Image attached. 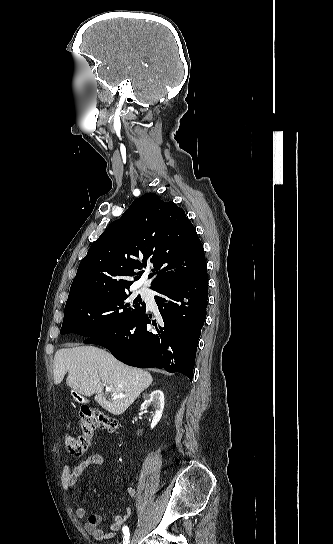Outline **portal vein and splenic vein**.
Wrapping results in <instances>:
<instances>
[{"instance_id":"18ae733b","label":"portal vein and splenic vein","mask_w":333,"mask_h":544,"mask_svg":"<svg viewBox=\"0 0 333 544\" xmlns=\"http://www.w3.org/2000/svg\"><path fill=\"white\" fill-rule=\"evenodd\" d=\"M105 390H106L107 392H110L112 389H111V387L106 386ZM115 396L118 397V398H122V397H124L125 395H115Z\"/></svg>"}]
</instances>
